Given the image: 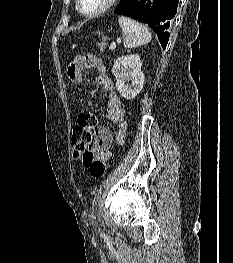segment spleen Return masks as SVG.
Here are the masks:
<instances>
[{
    "mask_svg": "<svg viewBox=\"0 0 233 263\" xmlns=\"http://www.w3.org/2000/svg\"><path fill=\"white\" fill-rule=\"evenodd\" d=\"M118 21L122 28L125 48H135L151 41V33L141 23L125 16H120Z\"/></svg>",
    "mask_w": 233,
    "mask_h": 263,
    "instance_id": "obj_1",
    "label": "spleen"
}]
</instances>
